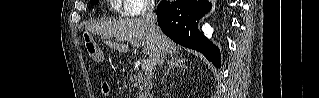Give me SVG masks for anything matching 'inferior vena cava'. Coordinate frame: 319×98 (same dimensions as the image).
<instances>
[{
  "label": "inferior vena cava",
  "instance_id": "obj_1",
  "mask_svg": "<svg viewBox=\"0 0 319 98\" xmlns=\"http://www.w3.org/2000/svg\"><path fill=\"white\" fill-rule=\"evenodd\" d=\"M155 3L153 0H146L142 10V20L145 23L147 29L152 34H155L159 29L157 27V16L154 13ZM166 59V53L164 50L160 52V67L163 66Z\"/></svg>",
  "mask_w": 319,
  "mask_h": 98
}]
</instances>
